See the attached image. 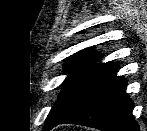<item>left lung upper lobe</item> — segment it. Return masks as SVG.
I'll return each mask as SVG.
<instances>
[{"label": "left lung upper lobe", "mask_w": 147, "mask_h": 131, "mask_svg": "<svg viewBox=\"0 0 147 131\" xmlns=\"http://www.w3.org/2000/svg\"><path fill=\"white\" fill-rule=\"evenodd\" d=\"M100 55L94 48H86L66 60V73H70L62 86V92L50 110L43 131H49L74 114L89 97L112 75L117 65L96 64Z\"/></svg>", "instance_id": "5c2ea615"}]
</instances>
